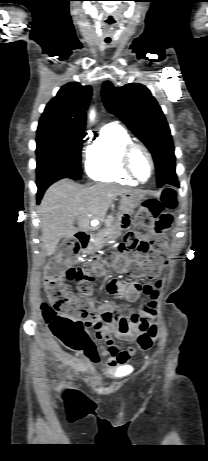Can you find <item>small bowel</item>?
<instances>
[{"label":"small bowel","instance_id":"obj_1","mask_svg":"<svg viewBox=\"0 0 208 461\" xmlns=\"http://www.w3.org/2000/svg\"><path fill=\"white\" fill-rule=\"evenodd\" d=\"M136 211L131 209L129 214H121L122 222H129ZM142 261L148 258L144 254H137ZM161 286V281L156 288ZM151 284H140L137 281L121 282L110 280L106 285V291L127 301H135L141 294L148 295L153 299L157 291ZM156 315V303L148 302L141 306L137 313L122 314L121 309L111 302L102 303L97 307L92 317L83 320L87 328L95 330V339L104 341L105 344L97 347L94 341L85 348L79 349L92 363H98L101 358L106 359L109 367L119 366L121 369L128 367V362L133 355L131 348L121 349L113 341V337L124 341L138 340L143 330V323H151Z\"/></svg>","mask_w":208,"mask_h":461}]
</instances>
